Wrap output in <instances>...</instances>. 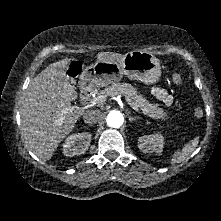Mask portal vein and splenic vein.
Listing matches in <instances>:
<instances>
[{
  "label": "portal vein and splenic vein",
  "mask_w": 221,
  "mask_h": 221,
  "mask_svg": "<svg viewBox=\"0 0 221 221\" xmlns=\"http://www.w3.org/2000/svg\"><path fill=\"white\" fill-rule=\"evenodd\" d=\"M126 102L130 105V107L132 109H134L136 112H139V109L134 105V103L131 101L130 98H128L127 96H124ZM106 101V96L104 95H100L92 100H90V104L91 105H96V104H101L104 103ZM75 109V106H70V107H66L63 109V113H68V112H72Z\"/></svg>",
  "instance_id": "1"
}]
</instances>
